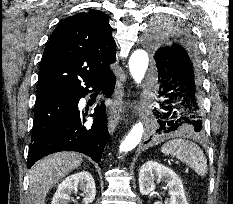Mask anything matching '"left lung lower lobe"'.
I'll return each mask as SVG.
<instances>
[{"label": "left lung lower lobe", "mask_w": 233, "mask_h": 204, "mask_svg": "<svg viewBox=\"0 0 233 204\" xmlns=\"http://www.w3.org/2000/svg\"><path fill=\"white\" fill-rule=\"evenodd\" d=\"M158 59L155 64L153 87L159 100L154 108L153 134L163 135L175 131L201 132V75L193 59L184 52L171 49L161 52Z\"/></svg>", "instance_id": "0a47b994"}]
</instances>
